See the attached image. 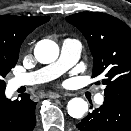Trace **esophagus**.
<instances>
[{
    "instance_id": "34e87169",
    "label": "esophagus",
    "mask_w": 131,
    "mask_h": 131,
    "mask_svg": "<svg viewBox=\"0 0 131 131\" xmlns=\"http://www.w3.org/2000/svg\"><path fill=\"white\" fill-rule=\"evenodd\" d=\"M69 94H58V93H49V94H47V96L49 97V98H53V99H55V98H60V97H62V96H68Z\"/></svg>"
}]
</instances>
